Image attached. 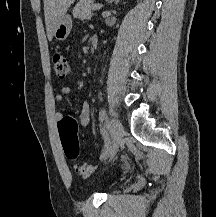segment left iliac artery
Wrapping results in <instances>:
<instances>
[{
    "label": "left iliac artery",
    "mask_w": 216,
    "mask_h": 217,
    "mask_svg": "<svg viewBox=\"0 0 216 217\" xmlns=\"http://www.w3.org/2000/svg\"><path fill=\"white\" fill-rule=\"evenodd\" d=\"M106 118V111L104 109H101L99 112V120L102 123L104 121V119ZM102 133L104 134V149L103 152L100 156V159H105L107 157V155L109 154V151L111 149V140L109 138V136L107 135L106 131L104 128L101 129Z\"/></svg>",
    "instance_id": "44dca946"
}]
</instances>
